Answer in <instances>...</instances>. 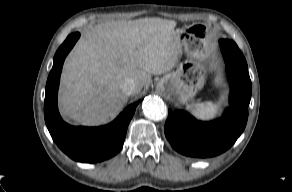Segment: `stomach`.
<instances>
[{"mask_svg":"<svg viewBox=\"0 0 292 192\" xmlns=\"http://www.w3.org/2000/svg\"><path fill=\"white\" fill-rule=\"evenodd\" d=\"M182 49L187 59L175 71L164 75L156 89L163 95L188 102L201 90L206 81V62L211 54V45L206 28L194 25L178 30Z\"/></svg>","mask_w":292,"mask_h":192,"instance_id":"0dacf381","label":"stomach"}]
</instances>
